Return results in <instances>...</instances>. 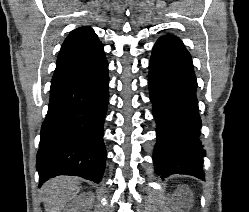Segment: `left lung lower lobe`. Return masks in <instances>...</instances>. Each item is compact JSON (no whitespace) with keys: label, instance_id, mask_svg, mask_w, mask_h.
<instances>
[{"label":"left lung lower lobe","instance_id":"1","mask_svg":"<svg viewBox=\"0 0 249 212\" xmlns=\"http://www.w3.org/2000/svg\"><path fill=\"white\" fill-rule=\"evenodd\" d=\"M148 85L157 125L153 152L156 174L161 178L187 174L205 179L197 82L186 48L157 41L149 63Z\"/></svg>","mask_w":249,"mask_h":212}]
</instances>
